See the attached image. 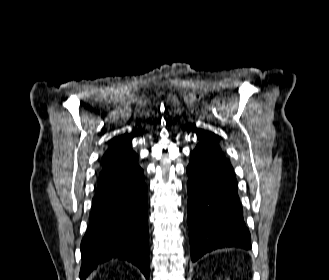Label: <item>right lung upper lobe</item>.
Here are the masks:
<instances>
[{
	"label": "right lung upper lobe",
	"instance_id": "cb5924a9",
	"mask_svg": "<svg viewBox=\"0 0 329 280\" xmlns=\"http://www.w3.org/2000/svg\"><path fill=\"white\" fill-rule=\"evenodd\" d=\"M137 159V154L132 150L131 138L124 134L111 140V145L102 159V169L133 165L137 163Z\"/></svg>",
	"mask_w": 329,
	"mask_h": 280
}]
</instances>
